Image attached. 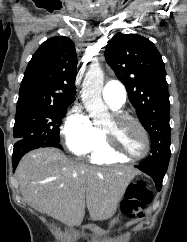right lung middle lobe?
<instances>
[{
    "mask_svg": "<svg viewBox=\"0 0 187 242\" xmlns=\"http://www.w3.org/2000/svg\"><path fill=\"white\" fill-rule=\"evenodd\" d=\"M67 108L28 106L16 110L13 136L60 143V125Z\"/></svg>",
    "mask_w": 187,
    "mask_h": 242,
    "instance_id": "right-lung-middle-lobe-1",
    "label": "right lung middle lobe"
}]
</instances>
